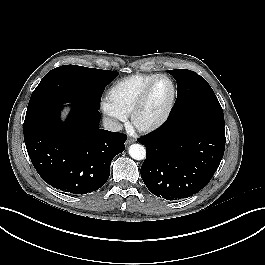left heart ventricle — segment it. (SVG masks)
<instances>
[{"label":"left heart ventricle","mask_w":265,"mask_h":265,"mask_svg":"<svg viewBox=\"0 0 265 265\" xmlns=\"http://www.w3.org/2000/svg\"><path fill=\"white\" fill-rule=\"evenodd\" d=\"M172 94V87L167 79H159L150 93L149 99L143 109L140 120L151 122L160 117L165 111Z\"/></svg>","instance_id":"b2bd125f"}]
</instances>
